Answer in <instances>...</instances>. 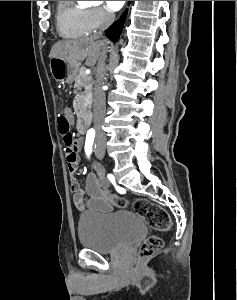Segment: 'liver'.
Instances as JSON below:
<instances>
[{
	"mask_svg": "<svg viewBox=\"0 0 237 300\" xmlns=\"http://www.w3.org/2000/svg\"><path fill=\"white\" fill-rule=\"evenodd\" d=\"M107 45L108 41H96L93 37H84L77 41H58L53 45L49 57L65 59L68 63H81L86 59V65L94 67L102 49H107Z\"/></svg>",
	"mask_w": 237,
	"mask_h": 300,
	"instance_id": "6515ba94",
	"label": "liver"
}]
</instances>
